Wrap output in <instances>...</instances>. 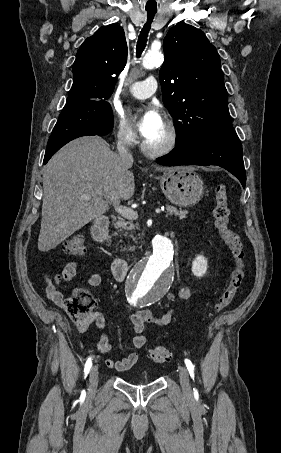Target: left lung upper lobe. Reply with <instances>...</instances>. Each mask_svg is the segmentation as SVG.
<instances>
[{
	"label": "left lung upper lobe",
	"mask_w": 281,
	"mask_h": 453,
	"mask_svg": "<svg viewBox=\"0 0 281 453\" xmlns=\"http://www.w3.org/2000/svg\"><path fill=\"white\" fill-rule=\"evenodd\" d=\"M163 49L159 78L164 105L174 119L176 146L233 129L220 57L204 32L177 24Z\"/></svg>",
	"instance_id": "5c2ea615"
}]
</instances>
